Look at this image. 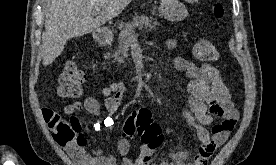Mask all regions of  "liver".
Wrapping results in <instances>:
<instances>
[{
  "label": "liver",
  "mask_w": 276,
  "mask_h": 165,
  "mask_svg": "<svg viewBox=\"0 0 276 165\" xmlns=\"http://www.w3.org/2000/svg\"><path fill=\"white\" fill-rule=\"evenodd\" d=\"M132 0H51L45 10L43 65L52 64L71 38L94 32ZM97 13V17L93 18Z\"/></svg>",
  "instance_id": "6515ba94"
}]
</instances>
